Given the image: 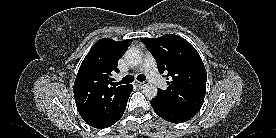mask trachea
I'll return each instance as SVG.
<instances>
[{"label":"trachea","mask_w":276,"mask_h":138,"mask_svg":"<svg viewBox=\"0 0 276 138\" xmlns=\"http://www.w3.org/2000/svg\"><path fill=\"white\" fill-rule=\"evenodd\" d=\"M137 80L143 82L146 80V76L143 74H140L137 76ZM133 81H134V77L132 75H127L119 82V84H129V83H132Z\"/></svg>","instance_id":"trachea-1"}]
</instances>
